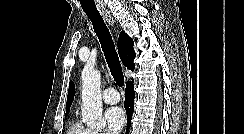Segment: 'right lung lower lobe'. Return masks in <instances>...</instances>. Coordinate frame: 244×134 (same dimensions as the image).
Masks as SVG:
<instances>
[{
    "label": "right lung lower lobe",
    "mask_w": 244,
    "mask_h": 134,
    "mask_svg": "<svg viewBox=\"0 0 244 134\" xmlns=\"http://www.w3.org/2000/svg\"><path fill=\"white\" fill-rule=\"evenodd\" d=\"M125 110L127 113V132L131 125V117L132 113L134 111V98H135V92H134V85L133 82L128 81L126 83V91H125ZM126 132V133H127Z\"/></svg>",
    "instance_id": "right-lung-lower-lobe-1"
}]
</instances>
